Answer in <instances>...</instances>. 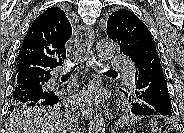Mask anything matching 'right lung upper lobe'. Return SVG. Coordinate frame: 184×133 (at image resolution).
<instances>
[{
	"label": "right lung upper lobe",
	"instance_id": "obj_1",
	"mask_svg": "<svg viewBox=\"0 0 184 133\" xmlns=\"http://www.w3.org/2000/svg\"><path fill=\"white\" fill-rule=\"evenodd\" d=\"M72 35L70 19L62 7H51L40 14L25 36L18 57L16 73L29 67L52 68L66 58L65 45Z\"/></svg>",
	"mask_w": 184,
	"mask_h": 133
}]
</instances>
